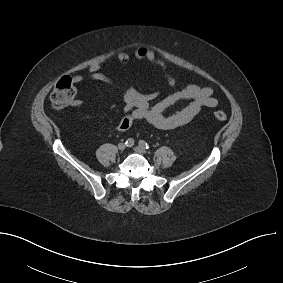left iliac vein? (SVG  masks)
<instances>
[{
    "label": "left iliac vein",
    "instance_id": "obj_1",
    "mask_svg": "<svg viewBox=\"0 0 283 283\" xmlns=\"http://www.w3.org/2000/svg\"><path fill=\"white\" fill-rule=\"evenodd\" d=\"M134 151L139 153V154H146V150L141 146H135Z\"/></svg>",
    "mask_w": 283,
    "mask_h": 283
}]
</instances>
